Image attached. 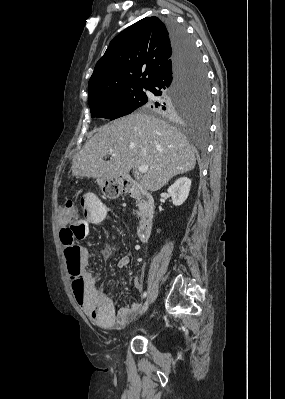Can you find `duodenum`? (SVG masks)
Wrapping results in <instances>:
<instances>
[{
    "label": "duodenum",
    "instance_id": "duodenum-1",
    "mask_svg": "<svg viewBox=\"0 0 285 399\" xmlns=\"http://www.w3.org/2000/svg\"><path fill=\"white\" fill-rule=\"evenodd\" d=\"M126 193L134 198L140 205V218L138 227V239L146 242L152 232L155 223V208L152 196L147 193L140 185L127 184Z\"/></svg>",
    "mask_w": 285,
    "mask_h": 399
}]
</instances>
